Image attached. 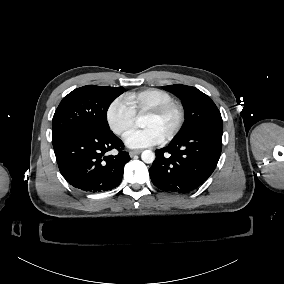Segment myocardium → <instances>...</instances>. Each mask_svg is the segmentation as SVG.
Listing matches in <instances>:
<instances>
[{
    "mask_svg": "<svg viewBox=\"0 0 284 284\" xmlns=\"http://www.w3.org/2000/svg\"><path fill=\"white\" fill-rule=\"evenodd\" d=\"M172 112L175 116L173 126L169 133L162 139V143L170 142L180 131L184 121V111L182 106L176 101H170L146 111V114L153 117H160Z\"/></svg>",
    "mask_w": 284,
    "mask_h": 284,
    "instance_id": "f54148a6",
    "label": "myocardium"
}]
</instances>
